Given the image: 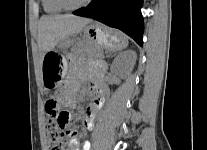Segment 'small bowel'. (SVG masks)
<instances>
[{"instance_id":"obj_1","label":"small bowel","mask_w":207,"mask_h":150,"mask_svg":"<svg viewBox=\"0 0 207 150\" xmlns=\"http://www.w3.org/2000/svg\"><path fill=\"white\" fill-rule=\"evenodd\" d=\"M100 65L97 63H93L91 66L92 72H98L100 70ZM84 78V75L71 77L69 79V89L70 92L64 96L66 103L70 107L76 106V97L74 95L75 91L79 88L80 81ZM91 92L93 95V99L87 107L86 115L83 120V126L87 129H92L94 126V122L96 116L101 109L104 101V96L106 94V88L99 82H93L91 84ZM78 138L72 133L69 137V147L71 150H77ZM92 140H83L82 150H91Z\"/></svg>"}]
</instances>
